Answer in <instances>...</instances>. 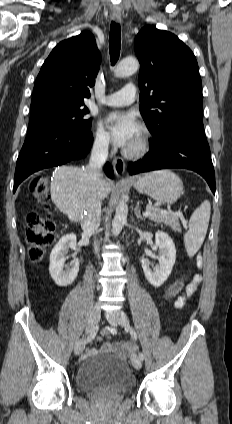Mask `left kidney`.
I'll return each mask as SVG.
<instances>
[{
  "label": "left kidney",
  "instance_id": "5707ae66",
  "mask_svg": "<svg viewBox=\"0 0 232 424\" xmlns=\"http://www.w3.org/2000/svg\"><path fill=\"white\" fill-rule=\"evenodd\" d=\"M152 249L159 250V265L152 270L149 260L143 258L142 268L147 281L154 287H160L171 274L176 260V249L171 237L163 231L156 232Z\"/></svg>",
  "mask_w": 232,
  "mask_h": 424
}]
</instances>
